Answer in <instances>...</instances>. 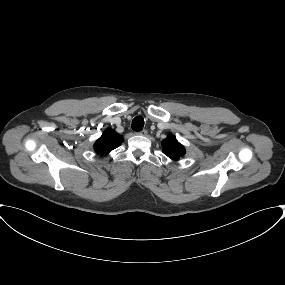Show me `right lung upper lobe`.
Segmentation results:
<instances>
[{
  "label": "right lung upper lobe",
  "instance_id": "right-lung-upper-lobe-1",
  "mask_svg": "<svg viewBox=\"0 0 285 285\" xmlns=\"http://www.w3.org/2000/svg\"><path fill=\"white\" fill-rule=\"evenodd\" d=\"M123 142V137L113 129H106L101 137L95 142L94 150L100 155L108 154L113 149L120 146Z\"/></svg>",
  "mask_w": 285,
  "mask_h": 285
}]
</instances>
